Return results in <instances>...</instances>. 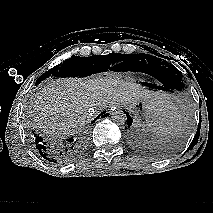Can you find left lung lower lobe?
<instances>
[{"instance_id":"obj_1","label":"left lung lower lobe","mask_w":213,"mask_h":213,"mask_svg":"<svg viewBox=\"0 0 213 213\" xmlns=\"http://www.w3.org/2000/svg\"><path fill=\"white\" fill-rule=\"evenodd\" d=\"M158 80L161 82L162 86H157L155 84H149V83H144V85L147 86L149 89H156V90L161 89V90H165V91L174 90L173 85L168 80H166V79H158ZM126 116H127L126 122H127L128 128H129L132 125V119L128 113H126ZM126 122H125V124H126ZM125 129H127V127ZM132 143L137 149H139L141 152H143L149 156L157 155L156 151L151 147V145L148 144L147 141H145L144 139H141V137H139V136H133Z\"/></svg>"}]
</instances>
